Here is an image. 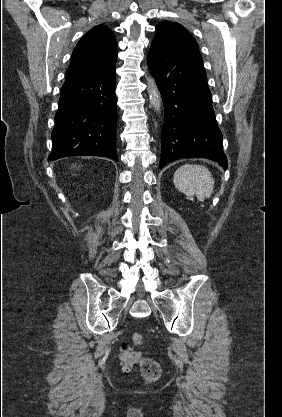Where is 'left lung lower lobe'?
Returning a JSON list of instances; mask_svg holds the SVG:
<instances>
[{
    "instance_id": "obj_1",
    "label": "left lung lower lobe",
    "mask_w": 282,
    "mask_h": 417,
    "mask_svg": "<svg viewBox=\"0 0 282 417\" xmlns=\"http://www.w3.org/2000/svg\"><path fill=\"white\" fill-rule=\"evenodd\" d=\"M147 62L165 108L159 168L180 158H207L224 169L222 134L199 53L151 45Z\"/></svg>"
}]
</instances>
